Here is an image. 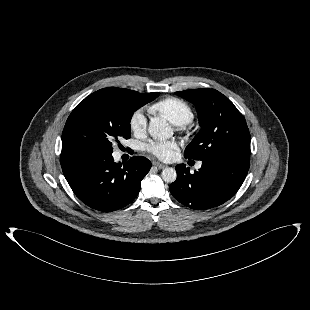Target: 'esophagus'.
<instances>
[{"instance_id": "obj_1", "label": "esophagus", "mask_w": 310, "mask_h": 310, "mask_svg": "<svg viewBox=\"0 0 310 310\" xmlns=\"http://www.w3.org/2000/svg\"><path fill=\"white\" fill-rule=\"evenodd\" d=\"M153 166L158 168V169H163L165 168V165L164 164H161V163H158V162H154L153 163Z\"/></svg>"}]
</instances>
